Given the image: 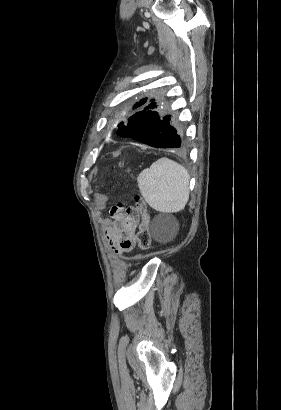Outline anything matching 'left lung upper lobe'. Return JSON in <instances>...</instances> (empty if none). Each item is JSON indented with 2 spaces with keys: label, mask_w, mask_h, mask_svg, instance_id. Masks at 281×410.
<instances>
[{
  "label": "left lung upper lobe",
  "mask_w": 281,
  "mask_h": 410,
  "mask_svg": "<svg viewBox=\"0 0 281 410\" xmlns=\"http://www.w3.org/2000/svg\"><path fill=\"white\" fill-rule=\"evenodd\" d=\"M146 102H147V98H144V99H142L140 102L136 103L135 106H134V108H138V107L144 105ZM121 124H123V123H120V125H119L120 129L117 131V133H118L120 136H121L122 134H124V131H123L122 128H121V127H122Z\"/></svg>",
  "instance_id": "obj_1"
}]
</instances>
